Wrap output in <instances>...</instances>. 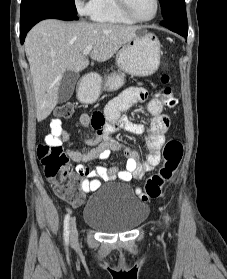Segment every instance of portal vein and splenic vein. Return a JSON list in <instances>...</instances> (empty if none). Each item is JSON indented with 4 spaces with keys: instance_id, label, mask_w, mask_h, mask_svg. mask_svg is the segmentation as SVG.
Returning <instances> with one entry per match:
<instances>
[{
    "instance_id": "18ae733b",
    "label": "portal vein and splenic vein",
    "mask_w": 227,
    "mask_h": 279,
    "mask_svg": "<svg viewBox=\"0 0 227 279\" xmlns=\"http://www.w3.org/2000/svg\"><path fill=\"white\" fill-rule=\"evenodd\" d=\"M92 48H93L92 45H88V46L84 49L83 55H84V56H87V55L91 52Z\"/></svg>"
}]
</instances>
